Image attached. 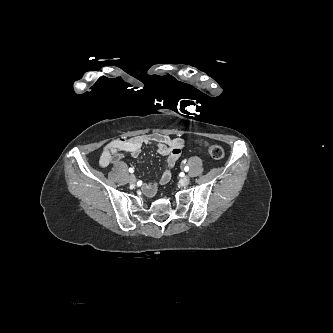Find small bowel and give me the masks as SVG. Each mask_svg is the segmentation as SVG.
Segmentation results:
<instances>
[{"mask_svg":"<svg viewBox=\"0 0 333 333\" xmlns=\"http://www.w3.org/2000/svg\"><path fill=\"white\" fill-rule=\"evenodd\" d=\"M146 145L155 146L157 151L167 158V168L159 178L161 184H167L171 179V170L180 158L185 146V141L180 137L171 138L161 133H150L132 138L115 139L102 149L99 165L104 168L111 164H117L122 159L123 152L137 157ZM156 189L157 185L153 182H147L143 185V190L148 196H154Z\"/></svg>","mask_w":333,"mask_h":333,"instance_id":"obj_1","label":"small bowel"}]
</instances>
